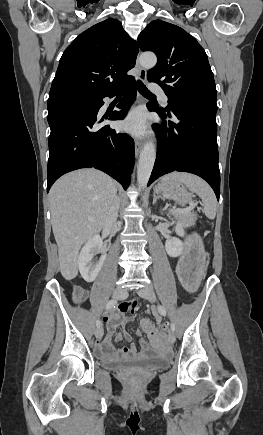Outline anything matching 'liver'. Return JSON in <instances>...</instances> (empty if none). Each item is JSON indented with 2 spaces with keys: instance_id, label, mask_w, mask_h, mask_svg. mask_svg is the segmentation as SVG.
<instances>
[{
  "instance_id": "6515ba94",
  "label": "liver",
  "mask_w": 263,
  "mask_h": 435,
  "mask_svg": "<svg viewBox=\"0 0 263 435\" xmlns=\"http://www.w3.org/2000/svg\"><path fill=\"white\" fill-rule=\"evenodd\" d=\"M116 195L117 183L93 168L66 174L51 187V223L66 280L77 276L79 249L102 230Z\"/></svg>"
}]
</instances>
